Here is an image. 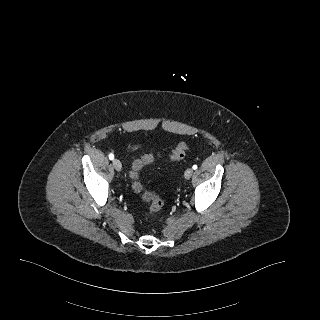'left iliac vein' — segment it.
Wrapping results in <instances>:
<instances>
[{
  "mask_svg": "<svg viewBox=\"0 0 320 320\" xmlns=\"http://www.w3.org/2000/svg\"><path fill=\"white\" fill-rule=\"evenodd\" d=\"M192 174H193V169H192V168H188V169L185 171V173H184V177H185L186 179H190L191 176H192Z\"/></svg>",
  "mask_w": 320,
  "mask_h": 320,
  "instance_id": "1",
  "label": "left iliac vein"
}]
</instances>
